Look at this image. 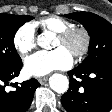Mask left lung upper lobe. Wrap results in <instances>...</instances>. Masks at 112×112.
<instances>
[{"mask_svg":"<svg viewBox=\"0 0 112 112\" xmlns=\"http://www.w3.org/2000/svg\"><path fill=\"white\" fill-rule=\"evenodd\" d=\"M65 17L80 22L90 36L89 55L78 68L87 69L112 60V25L108 21L88 12H75L66 14Z\"/></svg>","mask_w":112,"mask_h":112,"instance_id":"1","label":"left lung upper lobe"}]
</instances>
